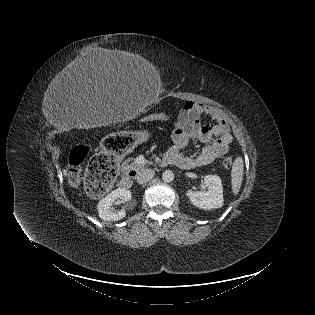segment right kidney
<instances>
[{
  "label": "right kidney",
  "mask_w": 315,
  "mask_h": 315,
  "mask_svg": "<svg viewBox=\"0 0 315 315\" xmlns=\"http://www.w3.org/2000/svg\"><path fill=\"white\" fill-rule=\"evenodd\" d=\"M131 198L132 194L128 189H115L99 201L97 205L99 217L105 221H118L124 218L126 216L125 210H114L112 208L113 203L118 199H121L124 202L131 200Z\"/></svg>",
  "instance_id": "obj_1"
}]
</instances>
